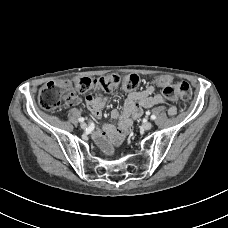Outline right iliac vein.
<instances>
[{
    "instance_id": "1",
    "label": "right iliac vein",
    "mask_w": 228,
    "mask_h": 228,
    "mask_svg": "<svg viewBox=\"0 0 228 228\" xmlns=\"http://www.w3.org/2000/svg\"><path fill=\"white\" fill-rule=\"evenodd\" d=\"M80 127H81L82 129H86V128H87V124H86L85 122H82V123L80 124Z\"/></svg>"
}]
</instances>
